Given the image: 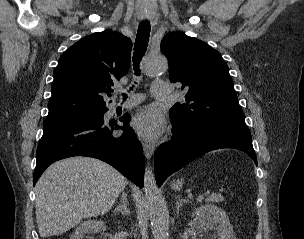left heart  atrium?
<instances>
[{
  "label": "left heart atrium",
  "mask_w": 304,
  "mask_h": 239,
  "mask_svg": "<svg viewBox=\"0 0 304 239\" xmlns=\"http://www.w3.org/2000/svg\"><path fill=\"white\" fill-rule=\"evenodd\" d=\"M130 127L138 136L153 140L163 132L165 121L160 112L148 107L140 110L132 117Z\"/></svg>",
  "instance_id": "39dd6f15"
}]
</instances>
